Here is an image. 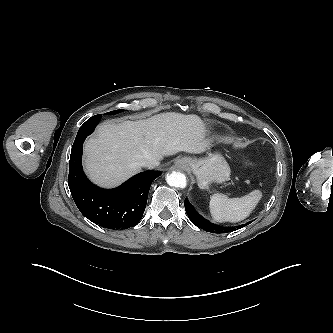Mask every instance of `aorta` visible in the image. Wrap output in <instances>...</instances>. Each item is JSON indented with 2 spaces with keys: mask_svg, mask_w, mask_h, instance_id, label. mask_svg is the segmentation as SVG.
Segmentation results:
<instances>
[{
  "mask_svg": "<svg viewBox=\"0 0 333 333\" xmlns=\"http://www.w3.org/2000/svg\"><path fill=\"white\" fill-rule=\"evenodd\" d=\"M167 183L172 187L185 188L187 185L186 176L181 172H171L166 177Z\"/></svg>",
  "mask_w": 333,
  "mask_h": 333,
  "instance_id": "aorta-1",
  "label": "aorta"
}]
</instances>
